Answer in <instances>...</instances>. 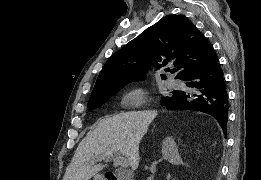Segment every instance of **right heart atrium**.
Instances as JSON below:
<instances>
[{
	"label": "right heart atrium",
	"instance_id": "1",
	"mask_svg": "<svg viewBox=\"0 0 261 180\" xmlns=\"http://www.w3.org/2000/svg\"><path fill=\"white\" fill-rule=\"evenodd\" d=\"M121 103L125 108H141L150 103V98L145 90L136 88L126 93L121 98Z\"/></svg>",
	"mask_w": 261,
	"mask_h": 180
}]
</instances>
